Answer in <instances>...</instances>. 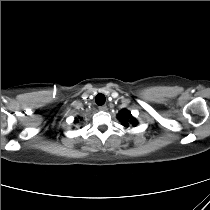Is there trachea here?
Returning <instances> with one entry per match:
<instances>
[{
    "label": "trachea",
    "mask_w": 210,
    "mask_h": 210,
    "mask_svg": "<svg viewBox=\"0 0 210 210\" xmlns=\"http://www.w3.org/2000/svg\"><path fill=\"white\" fill-rule=\"evenodd\" d=\"M105 96L103 94H97L96 97H95V102L97 105L101 106L105 103Z\"/></svg>",
    "instance_id": "3493384b"
}]
</instances>
